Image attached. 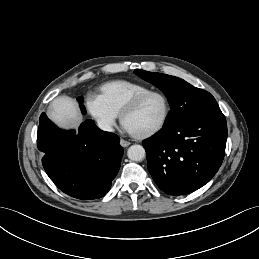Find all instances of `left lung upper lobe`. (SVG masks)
I'll return each instance as SVG.
<instances>
[{
	"label": "left lung upper lobe",
	"instance_id": "5c2ea615",
	"mask_svg": "<svg viewBox=\"0 0 259 259\" xmlns=\"http://www.w3.org/2000/svg\"><path fill=\"white\" fill-rule=\"evenodd\" d=\"M134 73L154 84L167 96L171 111L164 128L221 112L216 100L209 92L196 88L183 79L140 69H136Z\"/></svg>",
	"mask_w": 259,
	"mask_h": 259
}]
</instances>
